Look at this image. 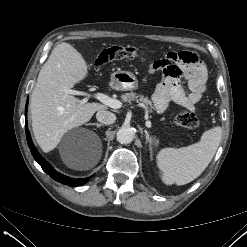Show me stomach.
<instances>
[{"label":"stomach","mask_w":247,"mask_h":247,"mask_svg":"<svg viewBox=\"0 0 247 247\" xmlns=\"http://www.w3.org/2000/svg\"><path fill=\"white\" fill-rule=\"evenodd\" d=\"M112 87L120 91H133L138 89L136 76L129 71H116L111 75Z\"/></svg>","instance_id":"obj_1"}]
</instances>
